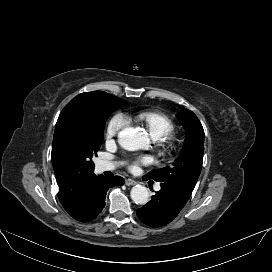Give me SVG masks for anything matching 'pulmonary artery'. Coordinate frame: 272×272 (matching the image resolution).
Returning <instances> with one entry per match:
<instances>
[{
  "instance_id": "e3ab8cb5",
  "label": "pulmonary artery",
  "mask_w": 272,
  "mask_h": 272,
  "mask_svg": "<svg viewBox=\"0 0 272 272\" xmlns=\"http://www.w3.org/2000/svg\"><path fill=\"white\" fill-rule=\"evenodd\" d=\"M97 166L99 171L104 172V171L113 170L116 167V164L109 161H100ZM155 189L160 190V185H157Z\"/></svg>"
}]
</instances>
